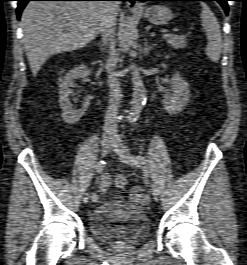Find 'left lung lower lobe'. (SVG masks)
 I'll list each match as a JSON object with an SVG mask.
<instances>
[{
	"mask_svg": "<svg viewBox=\"0 0 247 265\" xmlns=\"http://www.w3.org/2000/svg\"><path fill=\"white\" fill-rule=\"evenodd\" d=\"M137 1H177V0H137ZM192 1H217L224 9L226 15L229 12L227 1L229 0H192Z\"/></svg>",
	"mask_w": 247,
	"mask_h": 265,
	"instance_id": "0a47b994",
	"label": "left lung lower lobe"
}]
</instances>
